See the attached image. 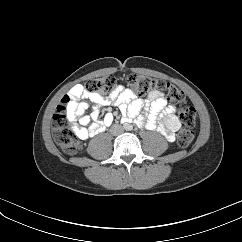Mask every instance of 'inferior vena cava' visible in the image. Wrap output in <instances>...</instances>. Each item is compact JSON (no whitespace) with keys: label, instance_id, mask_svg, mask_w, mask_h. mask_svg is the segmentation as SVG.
I'll use <instances>...</instances> for the list:
<instances>
[{"label":"inferior vena cava","instance_id":"602c4592","mask_svg":"<svg viewBox=\"0 0 242 242\" xmlns=\"http://www.w3.org/2000/svg\"><path fill=\"white\" fill-rule=\"evenodd\" d=\"M111 132L113 134H120L123 132V127L121 125H115L112 127Z\"/></svg>","mask_w":242,"mask_h":242}]
</instances>
